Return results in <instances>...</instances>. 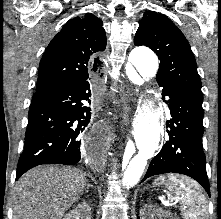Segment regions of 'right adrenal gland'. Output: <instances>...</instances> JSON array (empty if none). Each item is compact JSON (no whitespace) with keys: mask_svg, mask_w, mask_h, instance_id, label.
I'll list each match as a JSON object with an SVG mask.
<instances>
[{"mask_svg":"<svg viewBox=\"0 0 221 219\" xmlns=\"http://www.w3.org/2000/svg\"><path fill=\"white\" fill-rule=\"evenodd\" d=\"M91 187H92V185H90V184L88 183L87 188L85 189V192H88V189L91 188Z\"/></svg>","mask_w":221,"mask_h":219,"instance_id":"2a0ac1e0","label":"right adrenal gland"}]
</instances>
